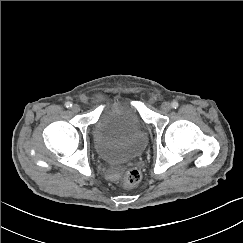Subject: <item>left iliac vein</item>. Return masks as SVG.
<instances>
[{
  "instance_id": "left-iliac-vein-1",
  "label": "left iliac vein",
  "mask_w": 243,
  "mask_h": 243,
  "mask_svg": "<svg viewBox=\"0 0 243 243\" xmlns=\"http://www.w3.org/2000/svg\"><path fill=\"white\" fill-rule=\"evenodd\" d=\"M161 109L164 111V112H168L170 111L171 109V104L169 102H164L162 105H161Z\"/></svg>"
}]
</instances>
